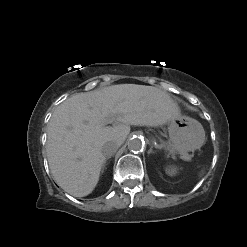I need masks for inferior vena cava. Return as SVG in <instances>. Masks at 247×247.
Listing matches in <instances>:
<instances>
[{
	"label": "inferior vena cava",
	"mask_w": 247,
	"mask_h": 247,
	"mask_svg": "<svg viewBox=\"0 0 247 247\" xmlns=\"http://www.w3.org/2000/svg\"><path fill=\"white\" fill-rule=\"evenodd\" d=\"M119 147H120L119 142L109 141V142H106L102 146V152H103L104 156L111 157L112 155H114L116 153V151L118 150Z\"/></svg>",
	"instance_id": "602c4592"
}]
</instances>
